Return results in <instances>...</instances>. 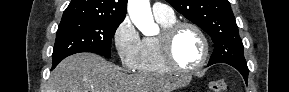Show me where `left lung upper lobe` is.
<instances>
[{"label": "left lung upper lobe", "mask_w": 289, "mask_h": 92, "mask_svg": "<svg viewBox=\"0 0 289 92\" xmlns=\"http://www.w3.org/2000/svg\"><path fill=\"white\" fill-rule=\"evenodd\" d=\"M179 13L197 24L214 42L209 65H247L243 44L228 0H166Z\"/></svg>", "instance_id": "1"}]
</instances>
